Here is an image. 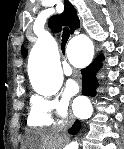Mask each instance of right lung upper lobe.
Wrapping results in <instances>:
<instances>
[{
    "label": "right lung upper lobe",
    "mask_w": 124,
    "mask_h": 149,
    "mask_svg": "<svg viewBox=\"0 0 124 149\" xmlns=\"http://www.w3.org/2000/svg\"><path fill=\"white\" fill-rule=\"evenodd\" d=\"M66 23L69 25L71 33L80 28V21L77 12L68 0H65L64 12L60 15L52 16L49 19V27L53 31L59 32L62 25ZM22 54L23 56L27 55V49L24 47L22 48Z\"/></svg>",
    "instance_id": "obj_1"
}]
</instances>
